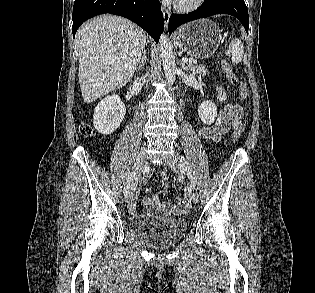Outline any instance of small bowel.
I'll return each instance as SVG.
<instances>
[{"label": "small bowel", "mask_w": 315, "mask_h": 293, "mask_svg": "<svg viewBox=\"0 0 315 293\" xmlns=\"http://www.w3.org/2000/svg\"><path fill=\"white\" fill-rule=\"evenodd\" d=\"M218 100L223 102L225 100V91L217 87L216 88ZM243 110L240 106L227 103L219 111L216 121L211 125L200 124L198 133L201 138L207 141H216L220 137L229 133L232 129H237L242 123ZM163 179H167L165 174H161ZM169 192L167 186H165L161 191L160 195L165 196ZM137 191L134 189V197L131 201L129 210L131 213H135L134 202ZM142 205L149 209L150 211H160V210H172L173 206L170 202L162 201L158 195L146 196L142 199Z\"/></svg>", "instance_id": "c3829d8e"}]
</instances>
